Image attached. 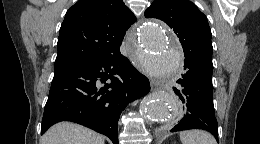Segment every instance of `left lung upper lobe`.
I'll use <instances>...</instances> for the list:
<instances>
[{
  "instance_id": "left-lung-upper-lobe-1",
  "label": "left lung upper lobe",
  "mask_w": 260,
  "mask_h": 144,
  "mask_svg": "<svg viewBox=\"0 0 260 144\" xmlns=\"http://www.w3.org/2000/svg\"><path fill=\"white\" fill-rule=\"evenodd\" d=\"M145 17L164 21L176 33L184 50V62L213 70L211 30L206 16L188 0H154Z\"/></svg>"
}]
</instances>
